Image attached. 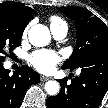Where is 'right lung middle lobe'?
<instances>
[{
	"label": "right lung middle lobe",
	"instance_id": "right-lung-middle-lobe-1",
	"mask_svg": "<svg viewBox=\"0 0 108 108\" xmlns=\"http://www.w3.org/2000/svg\"><path fill=\"white\" fill-rule=\"evenodd\" d=\"M25 27L14 11L0 10V62L20 45Z\"/></svg>",
	"mask_w": 108,
	"mask_h": 108
}]
</instances>
